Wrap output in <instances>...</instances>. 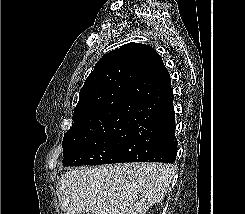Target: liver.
Wrapping results in <instances>:
<instances>
[{"label": "liver", "instance_id": "1", "mask_svg": "<svg viewBox=\"0 0 245 214\" xmlns=\"http://www.w3.org/2000/svg\"><path fill=\"white\" fill-rule=\"evenodd\" d=\"M174 170L167 164L124 163L82 167L61 175L66 214H146L167 193Z\"/></svg>", "mask_w": 245, "mask_h": 214}]
</instances>
